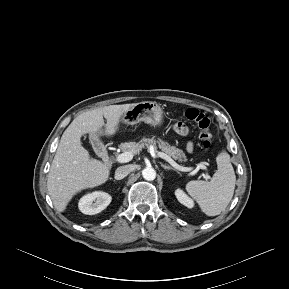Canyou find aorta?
Wrapping results in <instances>:
<instances>
[{
	"instance_id": "762f6f07",
	"label": "aorta",
	"mask_w": 289,
	"mask_h": 289,
	"mask_svg": "<svg viewBox=\"0 0 289 289\" xmlns=\"http://www.w3.org/2000/svg\"><path fill=\"white\" fill-rule=\"evenodd\" d=\"M143 178L147 181H152L156 178V171L152 167H146L142 171Z\"/></svg>"
}]
</instances>
